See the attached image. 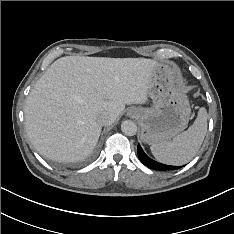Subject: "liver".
<instances>
[{"mask_svg": "<svg viewBox=\"0 0 234 234\" xmlns=\"http://www.w3.org/2000/svg\"><path fill=\"white\" fill-rule=\"evenodd\" d=\"M156 64L145 58L56 60L26 99L25 128L32 145L52 160L84 159L99 139V115L108 113L112 124L125 105L146 103Z\"/></svg>", "mask_w": 234, "mask_h": 234, "instance_id": "6515ba94", "label": "liver"}]
</instances>
